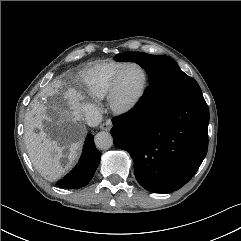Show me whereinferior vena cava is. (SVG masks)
Masks as SVG:
<instances>
[{
  "label": "inferior vena cava",
  "instance_id": "602c4592",
  "mask_svg": "<svg viewBox=\"0 0 241 241\" xmlns=\"http://www.w3.org/2000/svg\"><path fill=\"white\" fill-rule=\"evenodd\" d=\"M82 111L84 114V119L89 125H95L100 122L101 113L95 105H85Z\"/></svg>",
  "mask_w": 241,
  "mask_h": 241
}]
</instances>
